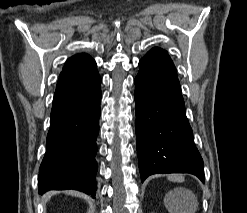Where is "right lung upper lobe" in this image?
Returning a JSON list of instances; mask_svg holds the SVG:
<instances>
[{"label":"right lung upper lobe","instance_id":"obj_1","mask_svg":"<svg viewBox=\"0 0 247 213\" xmlns=\"http://www.w3.org/2000/svg\"><path fill=\"white\" fill-rule=\"evenodd\" d=\"M95 60L86 53H79L67 59L59 78L95 67Z\"/></svg>","mask_w":247,"mask_h":213}]
</instances>
